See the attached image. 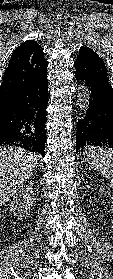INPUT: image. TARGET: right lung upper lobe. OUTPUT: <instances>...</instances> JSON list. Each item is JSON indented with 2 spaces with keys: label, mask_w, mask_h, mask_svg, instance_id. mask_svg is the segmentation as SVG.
<instances>
[{
  "label": "right lung upper lobe",
  "mask_w": 113,
  "mask_h": 279,
  "mask_svg": "<svg viewBox=\"0 0 113 279\" xmlns=\"http://www.w3.org/2000/svg\"><path fill=\"white\" fill-rule=\"evenodd\" d=\"M43 55V48L33 40L25 41L13 51L0 86V111L47 68Z\"/></svg>",
  "instance_id": "right-lung-upper-lobe-1"
}]
</instances>
